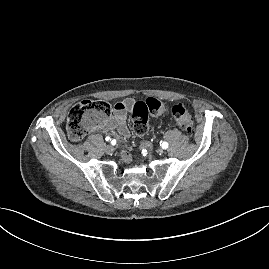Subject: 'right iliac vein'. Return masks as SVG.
<instances>
[{"label":"right iliac vein","instance_id":"obj_1","mask_svg":"<svg viewBox=\"0 0 269 269\" xmlns=\"http://www.w3.org/2000/svg\"><path fill=\"white\" fill-rule=\"evenodd\" d=\"M105 151L110 154V153H112L114 151V148H113L112 145H106L105 146Z\"/></svg>","mask_w":269,"mask_h":269}]
</instances>
